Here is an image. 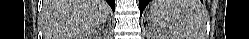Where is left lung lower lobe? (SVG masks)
<instances>
[{"mask_svg": "<svg viewBox=\"0 0 249 39\" xmlns=\"http://www.w3.org/2000/svg\"><path fill=\"white\" fill-rule=\"evenodd\" d=\"M149 0H139L140 15L142 14L144 8L148 4Z\"/></svg>", "mask_w": 249, "mask_h": 39, "instance_id": "left-lung-lower-lobe-1", "label": "left lung lower lobe"}]
</instances>
